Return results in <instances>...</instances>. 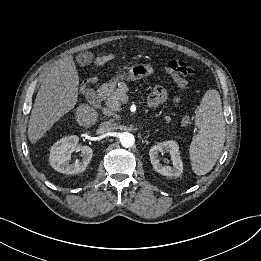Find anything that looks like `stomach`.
<instances>
[{
    "label": "stomach",
    "mask_w": 261,
    "mask_h": 261,
    "mask_svg": "<svg viewBox=\"0 0 261 261\" xmlns=\"http://www.w3.org/2000/svg\"><path fill=\"white\" fill-rule=\"evenodd\" d=\"M154 68L149 64H135L130 67L128 73H120L117 77V81H136L149 77L154 73Z\"/></svg>",
    "instance_id": "1"
}]
</instances>
